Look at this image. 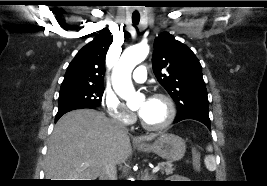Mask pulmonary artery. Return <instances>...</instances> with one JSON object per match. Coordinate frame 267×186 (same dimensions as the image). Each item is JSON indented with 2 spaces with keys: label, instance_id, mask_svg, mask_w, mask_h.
Instances as JSON below:
<instances>
[{
  "label": "pulmonary artery",
  "instance_id": "obj_1",
  "mask_svg": "<svg viewBox=\"0 0 267 186\" xmlns=\"http://www.w3.org/2000/svg\"><path fill=\"white\" fill-rule=\"evenodd\" d=\"M132 77L135 81L137 82H143L145 81L146 77H147V70H146V67L143 66V65H140L138 66L133 74H132Z\"/></svg>",
  "mask_w": 267,
  "mask_h": 186
}]
</instances>
